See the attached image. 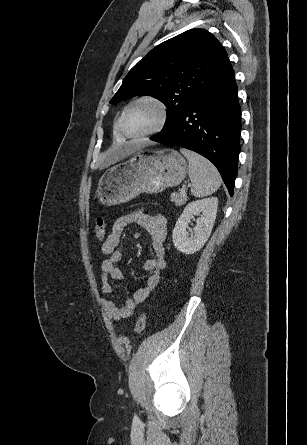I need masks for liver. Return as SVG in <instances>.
Returning <instances> with one entry per match:
<instances>
[{"label":"liver","instance_id":"obj_1","mask_svg":"<svg viewBox=\"0 0 307 445\" xmlns=\"http://www.w3.org/2000/svg\"><path fill=\"white\" fill-rule=\"evenodd\" d=\"M118 160V152H111V150H107V152H102L99 162H101L100 168H105V166H109V164H114Z\"/></svg>","mask_w":307,"mask_h":445}]
</instances>
